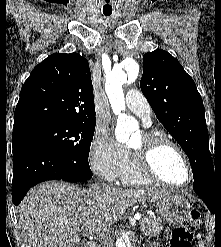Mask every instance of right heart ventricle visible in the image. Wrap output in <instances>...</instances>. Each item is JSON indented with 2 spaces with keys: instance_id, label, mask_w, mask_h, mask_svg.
Wrapping results in <instances>:
<instances>
[{
  "instance_id": "1",
  "label": "right heart ventricle",
  "mask_w": 221,
  "mask_h": 247,
  "mask_svg": "<svg viewBox=\"0 0 221 247\" xmlns=\"http://www.w3.org/2000/svg\"><path fill=\"white\" fill-rule=\"evenodd\" d=\"M119 177L121 181L127 185L141 186L154 182L139 171L127 149Z\"/></svg>"
}]
</instances>
